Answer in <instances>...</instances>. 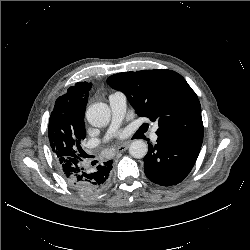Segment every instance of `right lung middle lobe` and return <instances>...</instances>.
I'll return each mask as SVG.
<instances>
[{
    "label": "right lung middle lobe",
    "mask_w": 250,
    "mask_h": 250,
    "mask_svg": "<svg viewBox=\"0 0 250 250\" xmlns=\"http://www.w3.org/2000/svg\"><path fill=\"white\" fill-rule=\"evenodd\" d=\"M48 133L50 146L56 161L59 159L71 160V158L80 159L82 157L80 144L86 136L84 126L77 129L73 134L64 133L55 127H49Z\"/></svg>",
    "instance_id": "dd1d6c3e"
}]
</instances>
